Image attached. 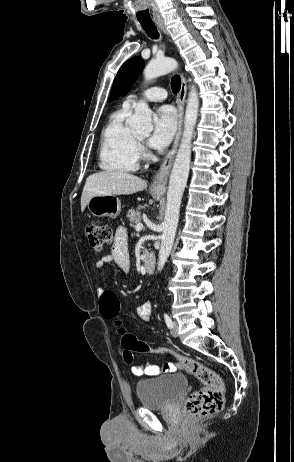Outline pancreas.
<instances>
[{"label":"pancreas","mask_w":294,"mask_h":462,"mask_svg":"<svg viewBox=\"0 0 294 462\" xmlns=\"http://www.w3.org/2000/svg\"><path fill=\"white\" fill-rule=\"evenodd\" d=\"M127 218L130 221V226L135 227V225L141 222V213L131 209L127 212Z\"/></svg>","instance_id":"obj_1"}]
</instances>
